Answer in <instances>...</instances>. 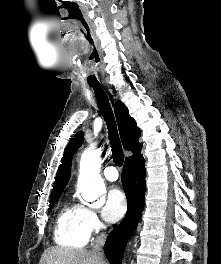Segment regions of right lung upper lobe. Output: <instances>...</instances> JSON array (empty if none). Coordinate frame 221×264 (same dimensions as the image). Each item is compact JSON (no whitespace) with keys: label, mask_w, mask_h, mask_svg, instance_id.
I'll return each instance as SVG.
<instances>
[{"label":"right lung upper lobe","mask_w":221,"mask_h":264,"mask_svg":"<svg viewBox=\"0 0 221 264\" xmlns=\"http://www.w3.org/2000/svg\"><path fill=\"white\" fill-rule=\"evenodd\" d=\"M114 109L123 147L126 150L132 151L134 154L126 158L125 161L142 157V144L138 141L141 131L137 127L135 120L130 117L127 107L120 100L115 102ZM83 140V132L80 131L75 135L74 139L69 142L61 160L62 164L58 168L51 198L61 195L66 187L70 178L72 154L83 143Z\"/></svg>","instance_id":"obj_1"}]
</instances>
